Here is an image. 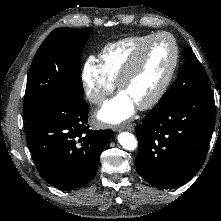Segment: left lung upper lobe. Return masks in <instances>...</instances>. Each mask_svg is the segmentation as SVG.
<instances>
[{
	"label": "left lung upper lobe",
	"mask_w": 221,
	"mask_h": 221,
	"mask_svg": "<svg viewBox=\"0 0 221 221\" xmlns=\"http://www.w3.org/2000/svg\"><path fill=\"white\" fill-rule=\"evenodd\" d=\"M183 57L184 63L181 66L177 80L173 82L160 100L184 96L198 90H211L208 76L192 49L186 47Z\"/></svg>",
	"instance_id": "1"
}]
</instances>
